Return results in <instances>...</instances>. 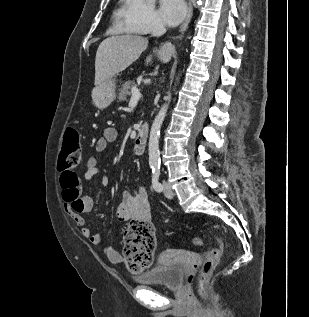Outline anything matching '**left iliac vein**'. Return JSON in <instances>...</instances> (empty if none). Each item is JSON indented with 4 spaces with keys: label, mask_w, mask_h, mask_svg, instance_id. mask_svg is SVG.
I'll return each mask as SVG.
<instances>
[{
    "label": "left iliac vein",
    "mask_w": 309,
    "mask_h": 317,
    "mask_svg": "<svg viewBox=\"0 0 309 317\" xmlns=\"http://www.w3.org/2000/svg\"><path fill=\"white\" fill-rule=\"evenodd\" d=\"M163 191H164V195L168 199H172L174 197V192H173L171 186L165 181L163 182Z\"/></svg>",
    "instance_id": "1"
}]
</instances>
